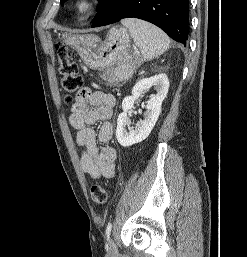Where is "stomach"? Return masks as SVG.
Masks as SVG:
<instances>
[{"instance_id":"1","label":"stomach","mask_w":247,"mask_h":257,"mask_svg":"<svg viewBox=\"0 0 247 257\" xmlns=\"http://www.w3.org/2000/svg\"><path fill=\"white\" fill-rule=\"evenodd\" d=\"M63 42L76 49L83 62L91 69L100 70L115 64L114 81L128 78L138 63V56H131L129 53L130 35L124 27L111 28L104 40L92 34L70 35L63 36Z\"/></svg>"}]
</instances>
